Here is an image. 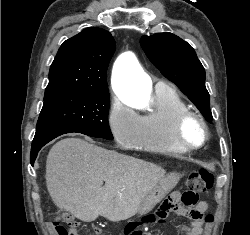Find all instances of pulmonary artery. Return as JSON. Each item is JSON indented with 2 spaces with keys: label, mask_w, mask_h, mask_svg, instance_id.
I'll return each instance as SVG.
<instances>
[{
  "label": "pulmonary artery",
  "mask_w": 250,
  "mask_h": 235,
  "mask_svg": "<svg viewBox=\"0 0 250 235\" xmlns=\"http://www.w3.org/2000/svg\"><path fill=\"white\" fill-rule=\"evenodd\" d=\"M164 85H165L164 82H158V83L156 84V87H157V88H160V87H163Z\"/></svg>",
  "instance_id": "e3ab8cb5"
}]
</instances>
